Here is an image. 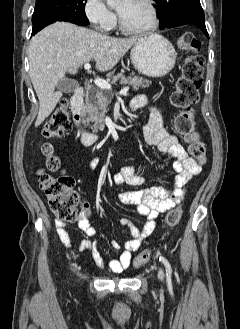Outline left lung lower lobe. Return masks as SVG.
Returning a JSON list of instances; mask_svg holds the SVG:
<instances>
[{"label":"left lung lower lobe","instance_id":"left-lung-lower-lobe-1","mask_svg":"<svg viewBox=\"0 0 240 329\" xmlns=\"http://www.w3.org/2000/svg\"><path fill=\"white\" fill-rule=\"evenodd\" d=\"M185 24H194V25H196L209 38L208 33H207V30H206V26H205V20H198V19H179V20H176V21L171 22L165 28H171V27L181 26V25H185Z\"/></svg>","mask_w":240,"mask_h":329}]
</instances>
